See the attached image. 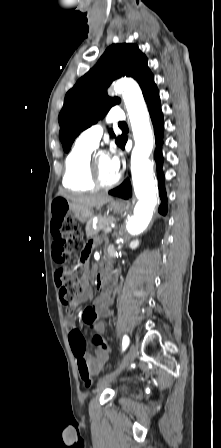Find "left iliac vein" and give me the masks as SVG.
Returning <instances> with one entry per match:
<instances>
[{"instance_id":"4c4485c4","label":"left iliac vein","mask_w":221,"mask_h":448,"mask_svg":"<svg viewBox=\"0 0 221 448\" xmlns=\"http://www.w3.org/2000/svg\"><path fill=\"white\" fill-rule=\"evenodd\" d=\"M138 353L137 347L135 345H132L130 347L129 352L124 357L122 362L120 363L119 367L111 374L107 375L106 377L102 378L98 382V388L102 389L105 386H107L116 376L125 368L129 367L130 364L134 361Z\"/></svg>"}]
</instances>
